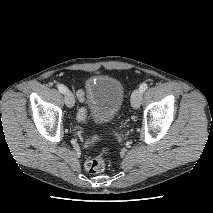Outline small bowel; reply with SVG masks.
<instances>
[{"label": "small bowel", "instance_id": "1", "mask_svg": "<svg viewBox=\"0 0 213 213\" xmlns=\"http://www.w3.org/2000/svg\"><path fill=\"white\" fill-rule=\"evenodd\" d=\"M77 97L81 102H84L85 100V92L84 90H78L77 92ZM78 120L80 122H85L87 120V109L86 108H82L79 113H78Z\"/></svg>", "mask_w": 213, "mask_h": 213}]
</instances>
